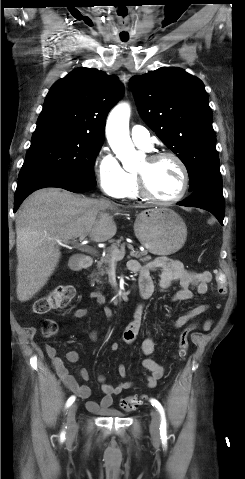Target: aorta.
<instances>
[{"label": "aorta", "instance_id": "aorta-1", "mask_svg": "<svg viewBox=\"0 0 245 479\" xmlns=\"http://www.w3.org/2000/svg\"><path fill=\"white\" fill-rule=\"evenodd\" d=\"M129 118V104L121 103L111 111L106 124L108 143L127 171L138 165L140 160L129 136Z\"/></svg>", "mask_w": 245, "mask_h": 479}]
</instances>
